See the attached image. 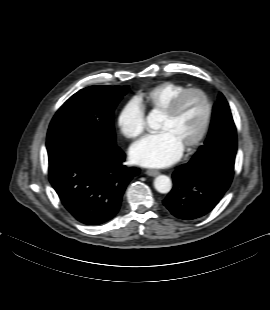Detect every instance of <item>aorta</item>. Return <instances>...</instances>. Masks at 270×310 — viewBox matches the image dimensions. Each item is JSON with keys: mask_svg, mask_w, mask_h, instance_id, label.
I'll return each mask as SVG.
<instances>
[{"mask_svg": "<svg viewBox=\"0 0 270 310\" xmlns=\"http://www.w3.org/2000/svg\"><path fill=\"white\" fill-rule=\"evenodd\" d=\"M157 119L158 118L154 113H150L147 117L148 124L151 127H154ZM154 187L159 193L166 194L170 192L172 188L171 179L166 175H159L154 180Z\"/></svg>", "mask_w": 270, "mask_h": 310, "instance_id": "1", "label": "aorta"}]
</instances>
